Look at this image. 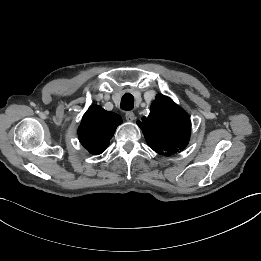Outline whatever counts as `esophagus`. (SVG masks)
I'll return each mask as SVG.
<instances>
[{"label":"esophagus","mask_w":261,"mask_h":261,"mask_svg":"<svg viewBox=\"0 0 261 261\" xmlns=\"http://www.w3.org/2000/svg\"><path fill=\"white\" fill-rule=\"evenodd\" d=\"M125 118L128 122H132L135 119V115L132 111H128L125 113Z\"/></svg>","instance_id":"34e87169"}]
</instances>
